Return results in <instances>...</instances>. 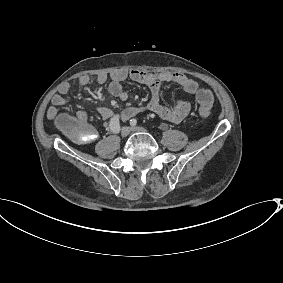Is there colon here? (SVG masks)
Here are the masks:
<instances>
[{"mask_svg":"<svg viewBox=\"0 0 283 283\" xmlns=\"http://www.w3.org/2000/svg\"><path fill=\"white\" fill-rule=\"evenodd\" d=\"M198 113L207 117L213 107L214 97L208 89H201L197 93ZM61 130L71 139L79 143H89L96 137L94 129L86 122L80 121L77 117L61 115L57 121Z\"/></svg>","mask_w":283,"mask_h":283,"instance_id":"5ec220e1","label":"colon"}]
</instances>
